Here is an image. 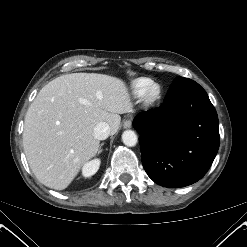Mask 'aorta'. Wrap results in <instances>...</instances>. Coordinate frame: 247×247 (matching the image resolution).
I'll list each match as a JSON object with an SVG mask.
<instances>
[{"label":"aorta","mask_w":247,"mask_h":247,"mask_svg":"<svg viewBox=\"0 0 247 247\" xmlns=\"http://www.w3.org/2000/svg\"><path fill=\"white\" fill-rule=\"evenodd\" d=\"M122 141L126 146L132 147L137 144L138 138L134 131L126 130L122 134Z\"/></svg>","instance_id":"762f6f07"}]
</instances>
